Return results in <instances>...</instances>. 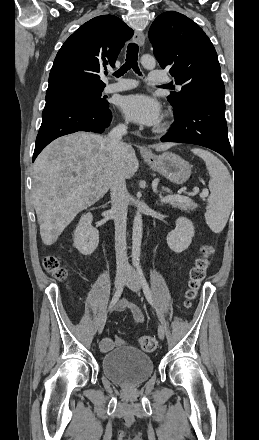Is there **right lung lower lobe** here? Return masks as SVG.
Returning <instances> with one entry per match:
<instances>
[{"label": "right lung lower lobe", "mask_w": 259, "mask_h": 440, "mask_svg": "<svg viewBox=\"0 0 259 440\" xmlns=\"http://www.w3.org/2000/svg\"><path fill=\"white\" fill-rule=\"evenodd\" d=\"M107 106L81 99L51 101L45 104L33 162L38 154L54 139L77 131L104 132L112 119Z\"/></svg>", "instance_id": "right-lung-lower-lobe-1"}]
</instances>
